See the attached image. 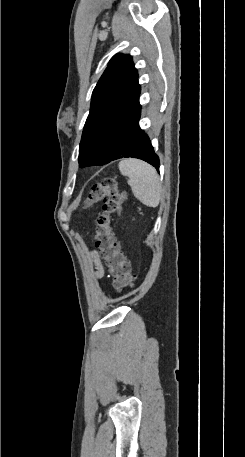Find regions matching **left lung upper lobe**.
Listing matches in <instances>:
<instances>
[{
  "label": "left lung upper lobe",
  "instance_id": "5c2ea615",
  "mask_svg": "<svg viewBox=\"0 0 245 457\" xmlns=\"http://www.w3.org/2000/svg\"><path fill=\"white\" fill-rule=\"evenodd\" d=\"M139 95L138 73L131 56H113L94 88L81 142L97 126L105 125L127 111L139 110Z\"/></svg>",
  "mask_w": 245,
  "mask_h": 457
}]
</instances>
